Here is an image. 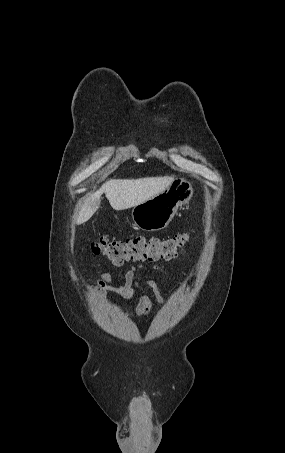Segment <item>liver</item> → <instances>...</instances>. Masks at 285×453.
Masks as SVG:
<instances>
[{
	"label": "liver",
	"mask_w": 285,
	"mask_h": 453,
	"mask_svg": "<svg viewBox=\"0 0 285 453\" xmlns=\"http://www.w3.org/2000/svg\"><path fill=\"white\" fill-rule=\"evenodd\" d=\"M173 180L174 178L172 176L110 179L84 201L76 216V223H85L93 216L100 207L101 195L103 193H105L114 210H125L163 192Z\"/></svg>",
	"instance_id": "obj_1"
}]
</instances>
